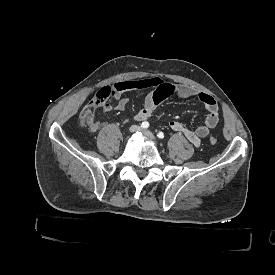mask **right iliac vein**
Returning <instances> with one entry per match:
<instances>
[{
    "label": "right iliac vein",
    "instance_id": "63e3f726",
    "mask_svg": "<svg viewBox=\"0 0 275 275\" xmlns=\"http://www.w3.org/2000/svg\"><path fill=\"white\" fill-rule=\"evenodd\" d=\"M140 129H141L140 126H138V125H132V126L129 128V131H130L131 133H133V132L139 131Z\"/></svg>",
    "mask_w": 275,
    "mask_h": 275
}]
</instances>
